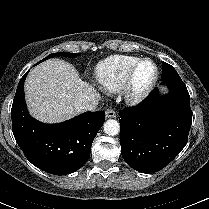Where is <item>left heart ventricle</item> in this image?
Listing matches in <instances>:
<instances>
[{
	"label": "left heart ventricle",
	"instance_id": "obj_1",
	"mask_svg": "<svg viewBox=\"0 0 209 209\" xmlns=\"http://www.w3.org/2000/svg\"><path fill=\"white\" fill-rule=\"evenodd\" d=\"M154 72L155 70L152 63L144 62L143 64H141L136 73V85L140 88L147 86L153 79Z\"/></svg>",
	"mask_w": 209,
	"mask_h": 209
}]
</instances>
